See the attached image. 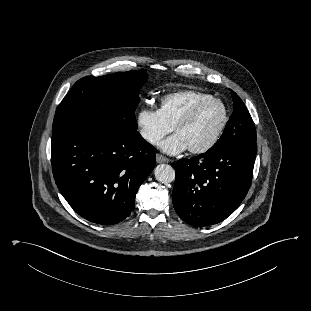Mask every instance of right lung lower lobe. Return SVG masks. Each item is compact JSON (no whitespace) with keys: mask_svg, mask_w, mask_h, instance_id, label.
Returning <instances> with one entry per match:
<instances>
[{"mask_svg":"<svg viewBox=\"0 0 311 311\" xmlns=\"http://www.w3.org/2000/svg\"><path fill=\"white\" fill-rule=\"evenodd\" d=\"M51 143L55 182L77 214L102 225L129 216L156 157L138 131L68 130L53 134Z\"/></svg>","mask_w":311,"mask_h":311,"instance_id":"1","label":"right lung lower lobe"}]
</instances>
